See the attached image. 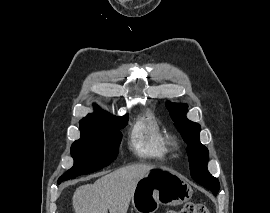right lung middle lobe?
Returning a JSON list of instances; mask_svg holds the SVG:
<instances>
[{"label":"right lung middle lobe","mask_w":270,"mask_h":213,"mask_svg":"<svg viewBox=\"0 0 270 213\" xmlns=\"http://www.w3.org/2000/svg\"><path fill=\"white\" fill-rule=\"evenodd\" d=\"M128 121V116L108 122L80 123L81 136L71 146L73 167L58 180V183L88 174L113 162L121 142L119 129Z\"/></svg>","instance_id":"1"}]
</instances>
